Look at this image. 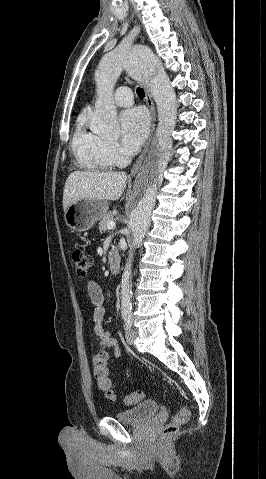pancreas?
I'll return each mask as SVG.
<instances>
[{
	"instance_id": "cf45deb5",
	"label": "pancreas",
	"mask_w": 266,
	"mask_h": 479,
	"mask_svg": "<svg viewBox=\"0 0 266 479\" xmlns=\"http://www.w3.org/2000/svg\"><path fill=\"white\" fill-rule=\"evenodd\" d=\"M113 220V214L111 212H108L107 214H105L101 219H100V222H99V230L100 231H103L107 228V224L108 222L112 221Z\"/></svg>"
}]
</instances>
